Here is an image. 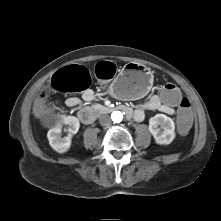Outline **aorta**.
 Segmentation results:
<instances>
[{"label": "aorta", "instance_id": "762f6f07", "mask_svg": "<svg viewBox=\"0 0 221 221\" xmlns=\"http://www.w3.org/2000/svg\"><path fill=\"white\" fill-rule=\"evenodd\" d=\"M111 119L115 123H120L123 120V113L121 111H113Z\"/></svg>", "mask_w": 221, "mask_h": 221}]
</instances>
